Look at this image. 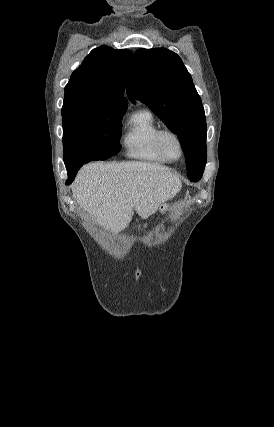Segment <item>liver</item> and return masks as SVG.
I'll list each match as a JSON object with an SVG mask.
<instances>
[{
  "instance_id": "liver-1",
  "label": "liver",
  "mask_w": 274,
  "mask_h": 427,
  "mask_svg": "<svg viewBox=\"0 0 274 427\" xmlns=\"http://www.w3.org/2000/svg\"><path fill=\"white\" fill-rule=\"evenodd\" d=\"M72 194L92 219L112 233L127 227L134 210L143 219L174 198L181 180L160 164L92 162L79 170Z\"/></svg>"
}]
</instances>
